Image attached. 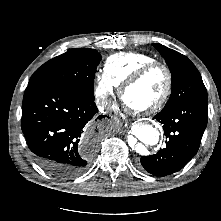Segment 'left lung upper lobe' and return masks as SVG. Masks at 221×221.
Masks as SVG:
<instances>
[{
  "instance_id": "obj_1",
  "label": "left lung upper lobe",
  "mask_w": 221,
  "mask_h": 221,
  "mask_svg": "<svg viewBox=\"0 0 221 221\" xmlns=\"http://www.w3.org/2000/svg\"><path fill=\"white\" fill-rule=\"evenodd\" d=\"M170 69L172 91L164 108L177 106L191 99L208 100L207 91L195 65L181 53L154 43Z\"/></svg>"
}]
</instances>
